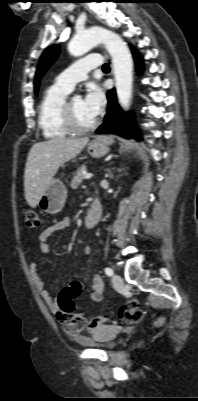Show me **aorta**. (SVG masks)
Segmentation results:
<instances>
[{
  "instance_id": "1",
  "label": "aorta",
  "mask_w": 198,
  "mask_h": 401,
  "mask_svg": "<svg viewBox=\"0 0 198 401\" xmlns=\"http://www.w3.org/2000/svg\"><path fill=\"white\" fill-rule=\"evenodd\" d=\"M99 43L104 44L112 57L118 101L126 110L132 97L133 61L122 38L108 29L92 27L75 35L68 44V51L73 56H82Z\"/></svg>"
}]
</instances>
